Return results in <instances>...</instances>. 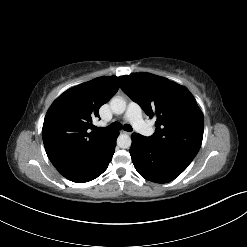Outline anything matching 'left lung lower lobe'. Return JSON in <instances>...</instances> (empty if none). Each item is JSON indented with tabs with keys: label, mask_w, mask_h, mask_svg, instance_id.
Returning a JSON list of instances; mask_svg holds the SVG:
<instances>
[{
	"label": "left lung lower lobe",
	"mask_w": 247,
	"mask_h": 247,
	"mask_svg": "<svg viewBox=\"0 0 247 247\" xmlns=\"http://www.w3.org/2000/svg\"><path fill=\"white\" fill-rule=\"evenodd\" d=\"M138 173L156 183H167L179 176L190 164L181 158L169 155L157 148L147 137L132 135L129 150Z\"/></svg>",
	"instance_id": "left-lung-lower-lobe-1"
}]
</instances>
